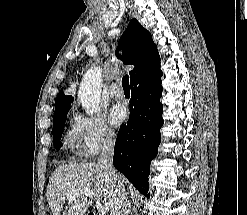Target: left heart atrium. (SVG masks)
Wrapping results in <instances>:
<instances>
[{
    "mask_svg": "<svg viewBox=\"0 0 247 215\" xmlns=\"http://www.w3.org/2000/svg\"><path fill=\"white\" fill-rule=\"evenodd\" d=\"M126 116H127V112L125 107L122 105H115L110 110L108 119L112 125L119 126L125 121Z\"/></svg>",
    "mask_w": 247,
    "mask_h": 215,
    "instance_id": "left-heart-atrium-1",
    "label": "left heart atrium"
}]
</instances>
